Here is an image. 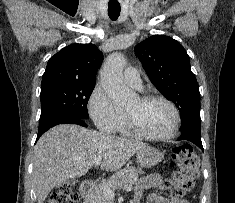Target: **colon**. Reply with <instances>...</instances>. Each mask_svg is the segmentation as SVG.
I'll list each match as a JSON object with an SVG mask.
<instances>
[{"label": "colon", "mask_w": 235, "mask_h": 203, "mask_svg": "<svg viewBox=\"0 0 235 203\" xmlns=\"http://www.w3.org/2000/svg\"><path fill=\"white\" fill-rule=\"evenodd\" d=\"M173 173L167 187L174 197L190 191L199 175V159L192 146L181 144L173 148ZM45 203H78V195L71 185H60Z\"/></svg>", "instance_id": "1"}]
</instances>
